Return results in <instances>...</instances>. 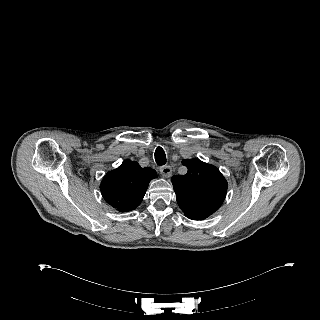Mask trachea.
Segmentation results:
<instances>
[{
    "mask_svg": "<svg viewBox=\"0 0 320 320\" xmlns=\"http://www.w3.org/2000/svg\"><path fill=\"white\" fill-rule=\"evenodd\" d=\"M155 161L159 166L166 164V155L161 147H157L155 150Z\"/></svg>",
    "mask_w": 320,
    "mask_h": 320,
    "instance_id": "3493384b",
    "label": "trachea"
}]
</instances>
